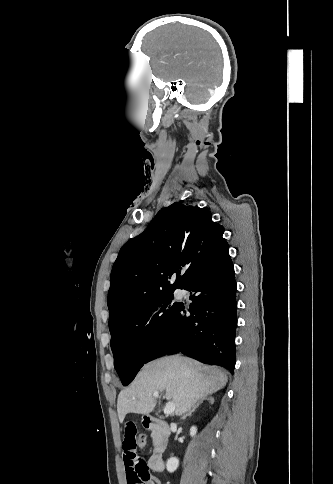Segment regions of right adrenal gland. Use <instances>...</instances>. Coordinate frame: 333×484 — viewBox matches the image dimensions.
Here are the masks:
<instances>
[{
    "instance_id": "2a0ac1e0",
    "label": "right adrenal gland",
    "mask_w": 333,
    "mask_h": 484,
    "mask_svg": "<svg viewBox=\"0 0 333 484\" xmlns=\"http://www.w3.org/2000/svg\"><path fill=\"white\" fill-rule=\"evenodd\" d=\"M208 400L210 403H213V398L212 397H203L197 401L196 404L193 405L192 409L188 411L181 419H186V417L191 416L192 413L199 407V405L204 401Z\"/></svg>"
}]
</instances>
